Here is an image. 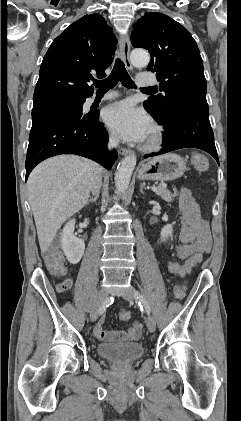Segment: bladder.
I'll return each mask as SVG.
<instances>
[{"label": "bladder", "mask_w": 241, "mask_h": 421, "mask_svg": "<svg viewBox=\"0 0 241 421\" xmlns=\"http://www.w3.org/2000/svg\"><path fill=\"white\" fill-rule=\"evenodd\" d=\"M98 354L111 362L127 364L138 360L144 353V347L137 342L101 343L97 346Z\"/></svg>", "instance_id": "31cf9c89"}]
</instances>
